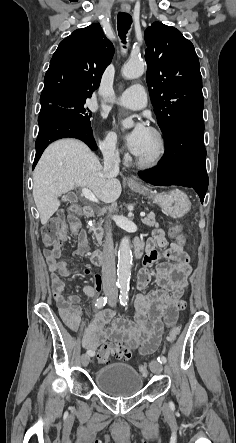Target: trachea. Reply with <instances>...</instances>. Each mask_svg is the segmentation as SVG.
Returning <instances> with one entry per match:
<instances>
[{
  "instance_id": "3493384b",
  "label": "trachea",
  "mask_w": 236,
  "mask_h": 443,
  "mask_svg": "<svg viewBox=\"0 0 236 443\" xmlns=\"http://www.w3.org/2000/svg\"><path fill=\"white\" fill-rule=\"evenodd\" d=\"M132 24V17L128 13L120 12L117 17V29L119 37L125 43L126 34Z\"/></svg>"
}]
</instances>
